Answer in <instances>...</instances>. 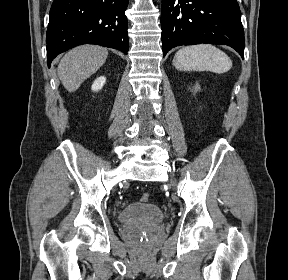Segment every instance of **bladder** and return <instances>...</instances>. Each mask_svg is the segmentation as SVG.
<instances>
[{"label": "bladder", "instance_id": "31cf9c89", "mask_svg": "<svg viewBox=\"0 0 288 280\" xmlns=\"http://www.w3.org/2000/svg\"><path fill=\"white\" fill-rule=\"evenodd\" d=\"M163 219L164 213L158 206L139 202L128 204L118 213V220L122 224L135 228H154Z\"/></svg>", "mask_w": 288, "mask_h": 280}]
</instances>
